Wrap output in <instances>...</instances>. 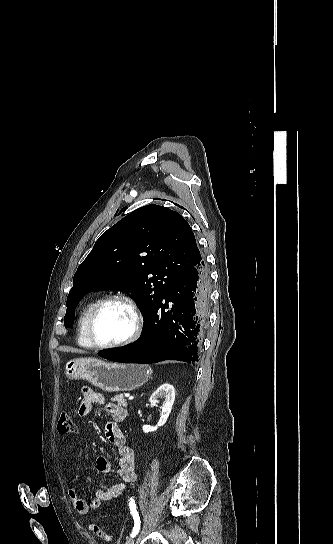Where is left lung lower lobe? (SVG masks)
<instances>
[{
	"instance_id": "obj_1",
	"label": "left lung lower lobe",
	"mask_w": 333,
	"mask_h": 544,
	"mask_svg": "<svg viewBox=\"0 0 333 544\" xmlns=\"http://www.w3.org/2000/svg\"><path fill=\"white\" fill-rule=\"evenodd\" d=\"M210 279L201 257L172 284L146 315L141 336L132 344L98 355L121 362L197 361L207 323Z\"/></svg>"
}]
</instances>
